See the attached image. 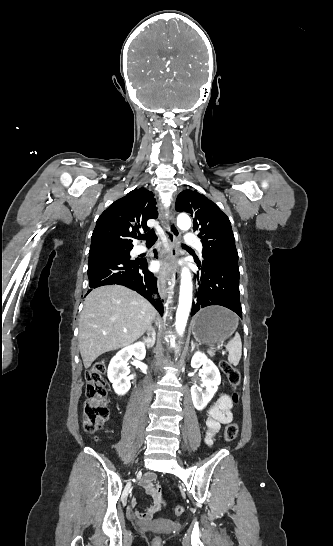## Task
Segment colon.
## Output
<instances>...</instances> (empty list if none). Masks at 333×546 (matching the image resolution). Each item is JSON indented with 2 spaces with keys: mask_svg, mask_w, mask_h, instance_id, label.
<instances>
[{
  "mask_svg": "<svg viewBox=\"0 0 333 546\" xmlns=\"http://www.w3.org/2000/svg\"><path fill=\"white\" fill-rule=\"evenodd\" d=\"M220 368L226 376L228 383L236 389L240 384L241 375L239 370L231 365L228 361L222 360ZM106 363L99 361L95 363L86 372V401L84 403L83 426L87 433H94L99 430L108 415V405L106 400ZM232 399L235 403L238 401V394L234 392ZM238 425L229 423L224 430V439L227 442L233 441L238 435ZM184 512V507L178 505L174 508L175 516H180ZM157 546L160 545V540L155 539Z\"/></svg>",
  "mask_w": 333,
  "mask_h": 546,
  "instance_id": "5ec220e1",
  "label": "colon"
}]
</instances>
